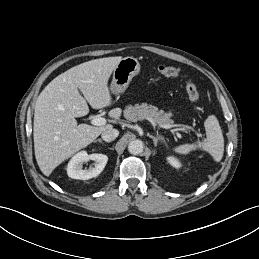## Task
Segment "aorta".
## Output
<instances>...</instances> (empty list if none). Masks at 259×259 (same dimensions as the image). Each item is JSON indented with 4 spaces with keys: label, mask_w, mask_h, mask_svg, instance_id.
<instances>
[{
    "label": "aorta",
    "mask_w": 259,
    "mask_h": 259,
    "mask_svg": "<svg viewBox=\"0 0 259 259\" xmlns=\"http://www.w3.org/2000/svg\"><path fill=\"white\" fill-rule=\"evenodd\" d=\"M144 149V144L141 140L136 139L133 140L129 143L128 145V151L129 153H131L132 155H138L141 154L143 152Z\"/></svg>",
    "instance_id": "aorta-1"
}]
</instances>
